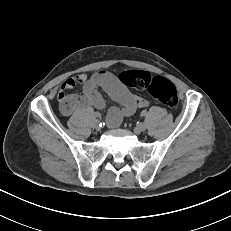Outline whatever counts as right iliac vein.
<instances>
[{
  "instance_id": "63e3f726",
  "label": "right iliac vein",
  "mask_w": 231,
  "mask_h": 231,
  "mask_svg": "<svg viewBox=\"0 0 231 231\" xmlns=\"http://www.w3.org/2000/svg\"><path fill=\"white\" fill-rule=\"evenodd\" d=\"M94 127L95 129L99 130L100 129V123L98 120H94Z\"/></svg>"
}]
</instances>
